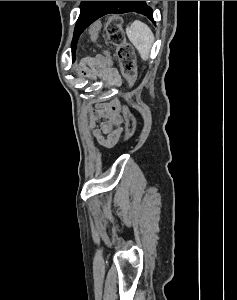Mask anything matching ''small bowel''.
Wrapping results in <instances>:
<instances>
[{
  "mask_svg": "<svg viewBox=\"0 0 237 300\" xmlns=\"http://www.w3.org/2000/svg\"><path fill=\"white\" fill-rule=\"evenodd\" d=\"M82 74L90 79H99L109 90H114L120 84L118 71L111 67H99L89 59L81 64ZM102 120L99 126L97 122ZM122 118L119 114V102L113 99L109 103H98L90 109L88 128L93 138L101 145L113 147L121 134Z\"/></svg>",
  "mask_w": 237,
  "mask_h": 300,
  "instance_id": "1",
  "label": "small bowel"
}]
</instances>
